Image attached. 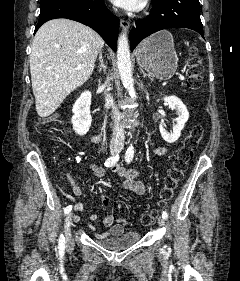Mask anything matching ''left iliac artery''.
<instances>
[{
  "mask_svg": "<svg viewBox=\"0 0 240 281\" xmlns=\"http://www.w3.org/2000/svg\"><path fill=\"white\" fill-rule=\"evenodd\" d=\"M133 157H134V147L131 145L128 147L126 153H125V161L127 163H130L132 160H133ZM162 217L164 219H167L168 218V213L166 211H163L162 212Z\"/></svg>",
  "mask_w": 240,
  "mask_h": 281,
  "instance_id": "1",
  "label": "left iliac artery"
}]
</instances>
